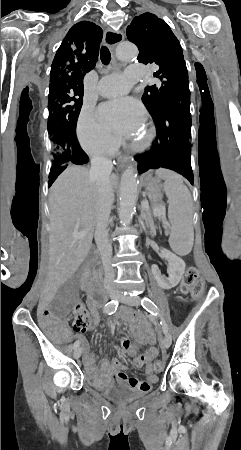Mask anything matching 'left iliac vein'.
<instances>
[{
  "mask_svg": "<svg viewBox=\"0 0 241 450\" xmlns=\"http://www.w3.org/2000/svg\"><path fill=\"white\" fill-rule=\"evenodd\" d=\"M118 300L125 304L136 306V307H138L140 305L139 297L126 296V295L120 294L118 296ZM170 344H171V337L169 334H167V335H165V337L162 338L161 345L164 349H168Z\"/></svg>",
  "mask_w": 241,
  "mask_h": 450,
  "instance_id": "obj_1",
  "label": "left iliac vein"
}]
</instances>
